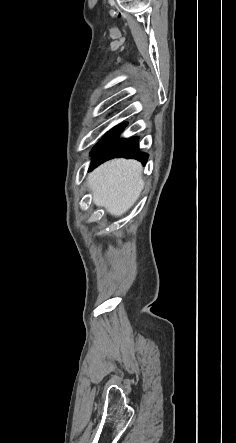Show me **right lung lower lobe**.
Returning a JSON list of instances; mask_svg holds the SVG:
<instances>
[{
    "mask_svg": "<svg viewBox=\"0 0 236 443\" xmlns=\"http://www.w3.org/2000/svg\"><path fill=\"white\" fill-rule=\"evenodd\" d=\"M127 123L116 126L109 131L93 148L91 154L94 156L90 170L103 163L106 160L115 157L134 158L146 163L148 155L140 152L138 149V137L131 139H119V134L126 127Z\"/></svg>",
    "mask_w": 236,
    "mask_h": 443,
    "instance_id": "right-lung-lower-lobe-1",
    "label": "right lung lower lobe"
}]
</instances>
